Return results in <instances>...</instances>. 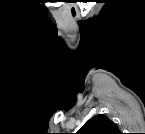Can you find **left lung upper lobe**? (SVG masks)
Wrapping results in <instances>:
<instances>
[{"label":"left lung upper lobe","instance_id":"5c2ea615","mask_svg":"<svg viewBox=\"0 0 145 134\" xmlns=\"http://www.w3.org/2000/svg\"><path fill=\"white\" fill-rule=\"evenodd\" d=\"M78 134H120L117 125L107 116L99 114L89 119L77 132Z\"/></svg>","mask_w":145,"mask_h":134}]
</instances>
